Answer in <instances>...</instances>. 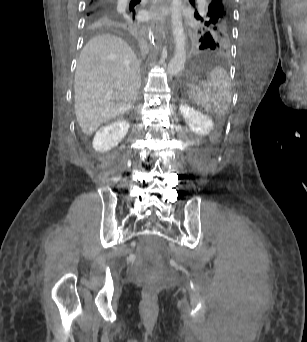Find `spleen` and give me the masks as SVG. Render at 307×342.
Returning a JSON list of instances; mask_svg holds the SVG:
<instances>
[{"label":"spleen","instance_id":"obj_1","mask_svg":"<svg viewBox=\"0 0 307 342\" xmlns=\"http://www.w3.org/2000/svg\"><path fill=\"white\" fill-rule=\"evenodd\" d=\"M194 102L203 104L209 114H226L231 102V80L224 68L216 66L207 76L205 88L202 83H190Z\"/></svg>","mask_w":307,"mask_h":342}]
</instances>
